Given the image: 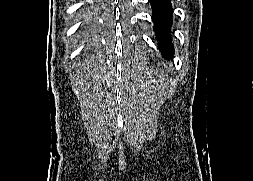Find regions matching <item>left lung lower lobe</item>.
I'll return each instance as SVG.
<instances>
[{
    "label": "left lung lower lobe",
    "mask_w": 253,
    "mask_h": 181,
    "mask_svg": "<svg viewBox=\"0 0 253 181\" xmlns=\"http://www.w3.org/2000/svg\"><path fill=\"white\" fill-rule=\"evenodd\" d=\"M153 11L154 30L160 40V50L165 56H171L173 47L169 41V29L172 23L170 0H149Z\"/></svg>",
    "instance_id": "0a47b994"
}]
</instances>
